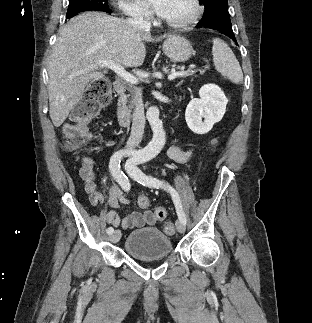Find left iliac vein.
<instances>
[{"label":"left iliac vein","instance_id":"left-iliac-vein-1","mask_svg":"<svg viewBox=\"0 0 312 323\" xmlns=\"http://www.w3.org/2000/svg\"><path fill=\"white\" fill-rule=\"evenodd\" d=\"M176 227L179 233H183L185 231V224L181 220L176 221Z\"/></svg>","mask_w":312,"mask_h":323}]
</instances>
